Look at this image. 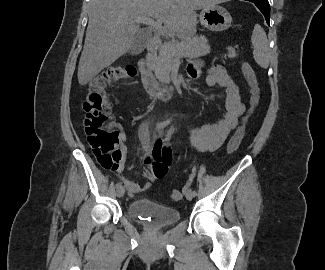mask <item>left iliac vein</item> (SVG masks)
I'll list each match as a JSON object with an SVG mask.
<instances>
[{"instance_id": "left-iliac-vein-1", "label": "left iliac vein", "mask_w": 325, "mask_h": 270, "mask_svg": "<svg viewBox=\"0 0 325 270\" xmlns=\"http://www.w3.org/2000/svg\"><path fill=\"white\" fill-rule=\"evenodd\" d=\"M185 195H186L187 200H189V201L192 200L193 197H194L193 192H192L191 189H188V190L185 192Z\"/></svg>"}]
</instances>
